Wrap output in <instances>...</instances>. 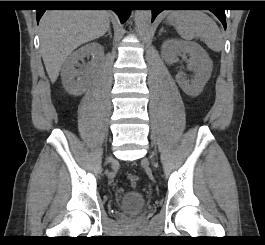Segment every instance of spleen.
I'll return each instance as SVG.
<instances>
[{"mask_svg": "<svg viewBox=\"0 0 265 245\" xmlns=\"http://www.w3.org/2000/svg\"><path fill=\"white\" fill-rule=\"evenodd\" d=\"M170 22L185 40L202 39L211 50L219 52L224 43L221 32L212 18L201 11H172Z\"/></svg>", "mask_w": 265, "mask_h": 245, "instance_id": "spleen-1", "label": "spleen"}]
</instances>
